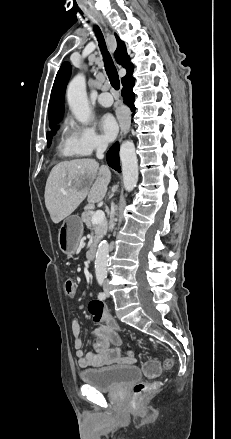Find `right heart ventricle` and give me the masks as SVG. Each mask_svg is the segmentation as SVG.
Returning <instances> with one entry per match:
<instances>
[{
	"instance_id": "1",
	"label": "right heart ventricle",
	"mask_w": 231,
	"mask_h": 439,
	"mask_svg": "<svg viewBox=\"0 0 231 439\" xmlns=\"http://www.w3.org/2000/svg\"><path fill=\"white\" fill-rule=\"evenodd\" d=\"M58 151L64 157H75L77 154L71 146L70 130L67 126L64 127L61 138L58 144Z\"/></svg>"
}]
</instances>
